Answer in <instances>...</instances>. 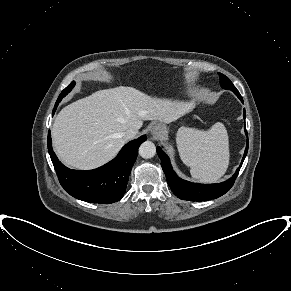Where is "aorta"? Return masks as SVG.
Segmentation results:
<instances>
[{
  "label": "aorta",
  "mask_w": 291,
  "mask_h": 291,
  "mask_svg": "<svg viewBox=\"0 0 291 291\" xmlns=\"http://www.w3.org/2000/svg\"><path fill=\"white\" fill-rule=\"evenodd\" d=\"M156 154V146L151 141L143 142L139 147V155L142 158L149 159Z\"/></svg>",
  "instance_id": "obj_1"
}]
</instances>
